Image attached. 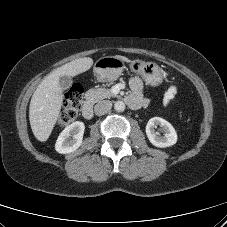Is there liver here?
I'll return each mask as SVG.
<instances>
[{"label": "liver", "instance_id": "liver-1", "mask_svg": "<svg viewBox=\"0 0 227 227\" xmlns=\"http://www.w3.org/2000/svg\"><path fill=\"white\" fill-rule=\"evenodd\" d=\"M125 62L130 60L117 55ZM93 65L90 57L79 58L62 65L46 76L32 95L29 106V120L32 132L37 140L45 142L59 117L63 103L62 88L59 83L61 76H77L86 72Z\"/></svg>", "mask_w": 227, "mask_h": 227}]
</instances>
